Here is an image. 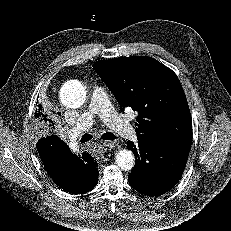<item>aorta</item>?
Segmentation results:
<instances>
[{"label":"aorta","mask_w":231,"mask_h":231,"mask_svg":"<svg viewBox=\"0 0 231 231\" xmlns=\"http://www.w3.org/2000/svg\"><path fill=\"white\" fill-rule=\"evenodd\" d=\"M60 100L68 108L76 109L86 101V89L77 80H70L64 83L60 90ZM116 164L121 170L129 171L135 165L134 155L130 150H120L116 154Z\"/></svg>","instance_id":"aorta-1"}]
</instances>
